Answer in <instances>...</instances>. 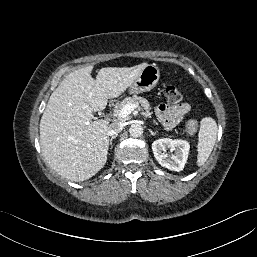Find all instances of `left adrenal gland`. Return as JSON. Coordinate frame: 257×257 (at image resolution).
<instances>
[{"label": "left adrenal gland", "instance_id": "1", "mask_svg": "<svg viewBox=\"0 0 257 257\" xmlns=\"http://www.w3.org/2000/svg\"><path fill=\"white\" fill-rule=\"evenodd\" d=\"M149 132L152 134V135H155L156 132H153L151 129H149Z\"/></svg>", "mask_w": 257, "mask_h": 257}]
</instances>
